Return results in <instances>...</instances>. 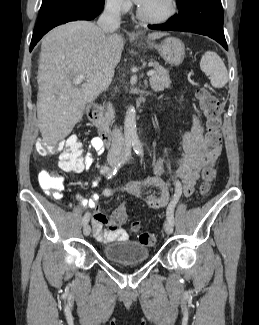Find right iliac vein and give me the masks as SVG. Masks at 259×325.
Here are the masks:
<instances>
[{
    "label": "right iliac vein",
    "mask_w": 259,
    "mask_h": 325,
    "mask_svg": "<svg viewBox=\"0 0 259 325\" xmlns=\"http://www.w3.org/2000/svg\"><path fill=\"white\" fill-rule=\"evenodd\" d=\"M120 158H121V155L118 154V153L111 154V155L108 156V159H107L108 164L113 166L114 164H116L120 160ZM90 232H91V227L87 223V224L84 225L83 233H84L85 236H89Z\"/></svg>",
    "instance_id": "right-iliac-vein-1"
}]
</instances>
